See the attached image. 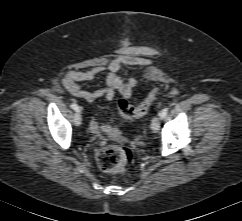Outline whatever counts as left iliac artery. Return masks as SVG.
Returning <instances> with one entry per match:
<instances>
[{
	"label": "left iliac artery",
	"instance_id": "left-iliac-artery-1",
	"mask_svg": "<svg viewBox=\"0 0 242 221\" xmlns=\"http://www.w3.org/2000/svg\"><path fill=\"white\" fill-rule=\"evenodd\" d=\"M167 113H168V108H164V109L161 111L160 115H161V117L163 118V117H165V116L167 115Z\"/></svg>",
	"mask_w": 242,
	"mask_h": 221
}]
</instances>
